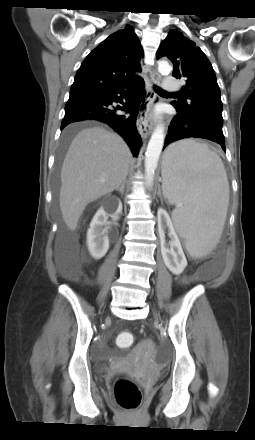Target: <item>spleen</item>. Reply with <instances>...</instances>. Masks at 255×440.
I'll use <instances>...</instances> for the list:
<instances>
[{
    "label": "spleen",
    "instance_id": "obj_1",
    "mask_svg": "<svg viewBox=\"0 0 255 440\" xmlns=\"http://www.w3.org/2000/svg\"><path fill=\"white\" fill-rule=\"evenodd\" d=\"M162 177L168 202L182 204L172 219L188 252L197 258L209 254L220 239L229 205L221 158L205 144L183 140L169 148Z\"/></svg>",
    "mask_w": 255,
    "mask_h": 440
}]
</instances>
